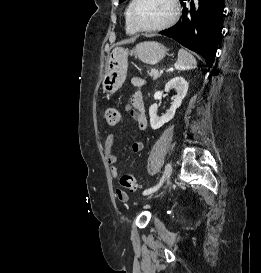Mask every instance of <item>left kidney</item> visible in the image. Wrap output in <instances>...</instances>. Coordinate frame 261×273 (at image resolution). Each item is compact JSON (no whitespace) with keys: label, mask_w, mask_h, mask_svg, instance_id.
Masks as SVG:
<instances>
[{"label":"left kidney","mask_w":261,"mask_h":273,"mask_svg":"<svg viewBox=\"0 0 261 273\" xmlns=\"http://www.w3.org/2000/svg\"><path fill=\"white\" fill-rule=\"evenodd\" d=\"M175 89L177 95L174 96L173 103L167 112L159 117L157 115L158 105L155 103L149 108L150 125L153 130L161 128L165 123L169 122L175 115L176 109L181 106V103L188 91V83L183 77H175L171 79L165 86V92ZM163 91H157L154 94L155 100L162 98Z\"/></svg>","instance_id":"5707ae66"}]
</instances>
